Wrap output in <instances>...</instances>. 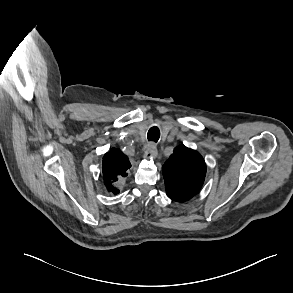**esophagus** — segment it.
<instances>
[{
	"label": "esophagus",
	"instance_id": "esophagus-1",
	"mask_svg": "<svg viewBox=\"0 0 293 293\" xmlns=\"http://www.w3.org/2000/svg\"><path fill=\"white\" fill-rule=\"evenodd\" d=\"M157 148L155 143H149L145 152H144V158H153L157 156Z\"/></svg>",
	"mask_w": 293,
	"mask_h": 293
}]
</instances>
